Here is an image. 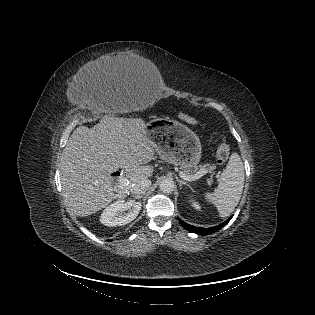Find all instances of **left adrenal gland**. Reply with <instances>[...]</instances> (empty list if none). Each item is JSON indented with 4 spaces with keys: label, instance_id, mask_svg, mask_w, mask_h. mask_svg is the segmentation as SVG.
<instances>
[{
    "label": "left adrenal gland",
    "instance_id": "obj_1",
    "mask_svg": "<svg viewBox=\"0 0 315 315\" xmlns=\"http://www.w3.org/2000/svg\"><path fill=\"white\" fill-rule=\"evenodd\" d=\"M177 182L179 183L180 187H182V185H186L192 190V187H191V185L189 183H187V182H185V181H183L181 179H178V178H177Z\"/></svg>",
    "mask_w": 315,
    "mask_h": 315
}]
</instances>
